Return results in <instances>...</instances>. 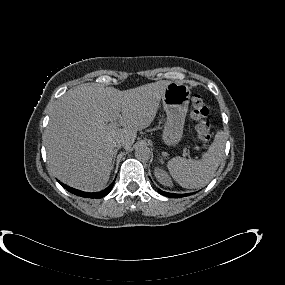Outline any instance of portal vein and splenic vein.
Wrapping results in <instances>:
<instances>
[{
    "label": "portal vein and splenic vein",
    "instance_id": "1",
    "mask_svg": "<svg viewBox=\"0 0 285 285\" xmlns=\"http://www.w3.org/2000/svg\"><path fill=\"white\" fill-rule=\"evenodd\" d=\"M118 125H119V123L117 121L111 123V126H118ZM187 155H188V153L184 150L183 151V156L186 157Z\"/></svg>",
    "mask_w": 285,
    "mask_h": 285
}]
</instances>
